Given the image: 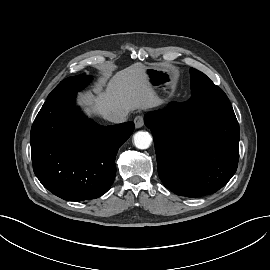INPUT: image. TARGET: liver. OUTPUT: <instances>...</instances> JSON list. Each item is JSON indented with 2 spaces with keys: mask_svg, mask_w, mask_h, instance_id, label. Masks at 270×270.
<instances>
[{
  "mask_svg": "<svg viewBox=\"0 0 270 270\" xmlns=\"http://www.w3.org/2000/svg\"><path fill=\"white\" fill-rule=\"evenodd\" d=\"M97 95L87 93L85 100L89 113L105 118V115L117 109L144 110L162 104L150 84L145 67L135 63L117 72L109 81L106 90L97 89Z\"/></svg>",
  "mask_w": 270,
  "mask_h": 270,
  "instance_id": "1",
  "label": "liver"
}]
</instances>
